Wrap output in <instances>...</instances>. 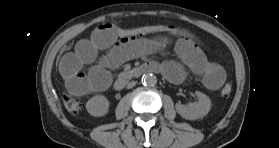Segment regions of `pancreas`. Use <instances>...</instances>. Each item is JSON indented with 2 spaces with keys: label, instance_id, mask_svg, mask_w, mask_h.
Segmentation results:
<instances>
[{
  "label": "pancreas",
  "instance_id": "1",
  "mask_svg": "<svg viewBox=\"0 0 279 148\" xmlns=\"http://www.w3.org/2000/svg\"><path fill=\"white\" fill-rule=\"evenodd\" d=\"M128 75H129V72H123V73L120 74V77H122V76H128Z\"/></svg>",
  "mask_w": 279,
  "mask_h": 148
}]
</instances>
